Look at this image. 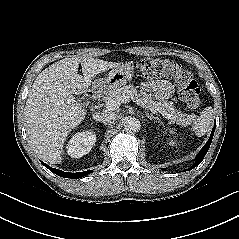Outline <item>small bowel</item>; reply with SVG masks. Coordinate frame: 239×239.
I'll list each match as a JSON object with an SVG mask.
<instances>
[{
	"label": "small bowel",
	"instance_id": "obj_1",
	"mask_svg": "<svg viewBox=\"0 0 239 239\" xmlns=\"http://www.w3.org/2000/svg\"><path fill=\"white\" fill-rule=\"evenodd\" d=\"M143 88L147 91L155 92L159 98H168L173 93L172 85L165 80H151L143 84Z\"/></svg>",
	"mask_w": 239,
	"mask_h": 239
}]
</instances>
